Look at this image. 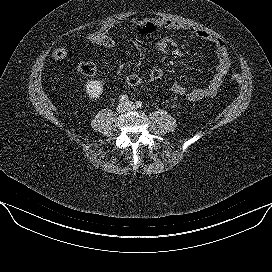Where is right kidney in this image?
<instances>
[{"label": "right kidney", "instance_id": "obj_1", "mask_svg": "<svg viewBox=\"0 0 272 272\" xmlns=\"http://www.w3.org/2000/svg\"><path fill=\"white\" fill-rule=\"evenodd\" d=\"M85 92L91 100H96L103 92V84L98 80H90L85 84Z\"/></svg>", "mask_w": 272, "mask_h": 272}]
</instances>
